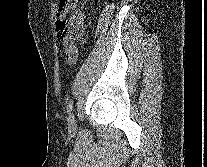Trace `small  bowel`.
<instances>
[{"mask_svg":"<svg viewBox=\"0 0 207 167\" xmlns=\"http://www.w3.org/2000/svg\"><path fill=\"white\" fill-rule=\"evenodd\" d=\"M63 44L65 47V61L66 63L72 65L77 61V58H78L77 50L75 46H69L64 42Z\"/></svg>","mask_w":207,"mask_h":167,"instance_id":"small-bowel-1","label":"small bowel"}]
</instances>
